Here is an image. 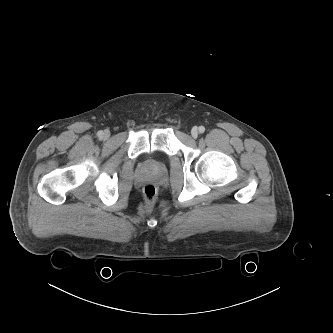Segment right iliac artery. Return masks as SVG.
Wrapping results in <instances>:
<instances>
[{
    "instance_id": "82829eb1",
    "label": "right iliac artery",
    "mask_w": 333,
    "mask_h": 333,
    "mask_svg": "<svg viewBox=\"0 0 333 333\" xmlns=\"http://www.w3.org/2000/svg\"><path fill=\"white\" fill-rule=\"evenodd\" d=\"M97 135H98V137H102L103 136V131H98Z\"/></svg>"
}]
</instances>
